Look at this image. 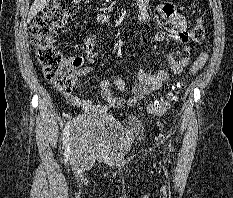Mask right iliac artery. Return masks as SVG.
Returning <instances> with one entry per match:
<instances>
[{
  "label": "right iliac artery",
  "mask_w": 233,
  "mask_h": 198,
  "mask_svg": "<svg viewBox=\"0 0 233 198\" xmlns=\"http://www.w3.org/2000/svg\"><path fill=\"white\" fill-rule=\"evenodd\" d=\"M69 133H70V125L69 123L66 125L63 131V146H65V156L68 157L69 155Z\"/></svg>",
  "instance_id": "82829eb1"
}]
</instances>
